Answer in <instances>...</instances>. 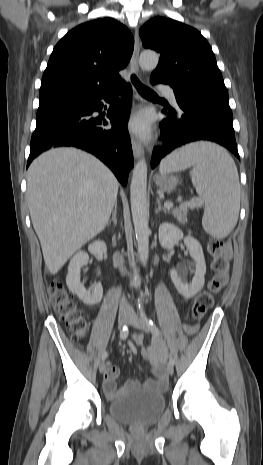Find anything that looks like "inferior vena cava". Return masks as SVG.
Here are the masks:
<instances>
[{
    "mask_svg": "<svg viewBox=\"0 0 263 465\" xmlns=\"http://www.w3.org/2000/svg\"><path fill=\"white\" fill-rule=\"evenodd\" d=\"M120 308L121 309L128 308V303H127V300H126V298L124 296L121 298Z\"/></svg>",
    "mask_w": 263,
    "mask_h": 465,
    "instance_id": "1",
    "label": "inferior vena cava"
}]
</instances>
